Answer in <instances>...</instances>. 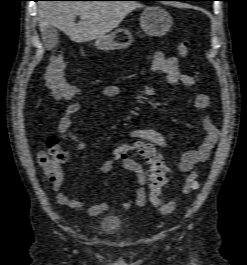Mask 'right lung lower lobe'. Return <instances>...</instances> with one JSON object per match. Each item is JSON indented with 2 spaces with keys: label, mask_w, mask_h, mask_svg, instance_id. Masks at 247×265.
I'll return each mask as SVG.
<instances>
[{
  "label": "right lung lower lobe",
  "mask_w": 247,
  "mask_h": 265,
  "mask_svg": "<svg viewBox=\"0 0 247 265\" xmlns=\"http://www.w3.org/2000/svg\"><path fill=\"white\" fill-rule=\"evenodd\" d=\"M34 1H39V0H34ZM137 1H141V0H137Z\"/></svg>",
  "instance_id": "right-lung-lower-lobe-1"
}]
</instances>
